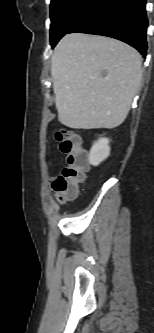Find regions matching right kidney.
<instances>
[{"mask_svg": "<svg viewBox=\"0 0 154 333\" xmlns=\"http://www.w3.org/2000/svg\"><path fill=\"white\" fill-rule=\"evenodd\" d=\"M110 140L108 138H100L95 141L89 156V163L93 166H98L102 161H104L110 155Z\"/></svg>", "mask_w": 154, "mask_h": 333, "instance_id": "obj_1", "label": "right kidney"}]
</instances>
